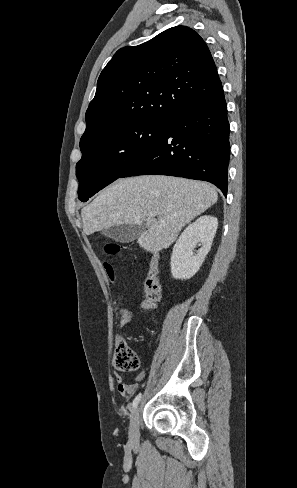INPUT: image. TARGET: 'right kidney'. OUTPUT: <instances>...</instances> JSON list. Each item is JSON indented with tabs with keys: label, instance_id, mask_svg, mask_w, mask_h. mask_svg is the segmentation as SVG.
I'll use <instances>...</instances> for the list:
<instances>
[{
	"label": "right kidney",
	"instance_id": "1",
	"mask_svg": "<svg viewBox=\"0 0 297 488\" xmlns=\"http://www.w3.org/2000/svg\"><path fill=\"white\" fill-rule=\"evenodd\" d=\"M218 227L214 216L199 217L181 233L171 255V274L175 279H189L194 276L209 253ZM201 246L193 252L196 245Z\"/></svg>",
	"mask_w": 297,
	"mask_h": 488
}]
</instances>
